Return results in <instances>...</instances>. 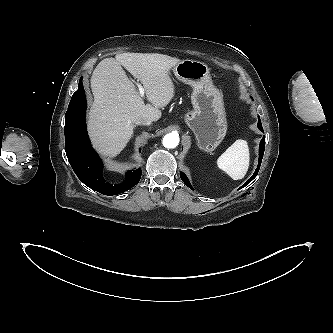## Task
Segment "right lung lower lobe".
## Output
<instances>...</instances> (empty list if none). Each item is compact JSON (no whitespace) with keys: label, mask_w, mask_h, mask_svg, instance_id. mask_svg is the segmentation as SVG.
<instances>
[{"label":"right lung lower lobe","mask_w":333,"mask_h":333,"mask_svg":"<svg viewBox=\"0 0 333 333\" xmlns=\"http://www.w3.org/2000/svg\"><path fill=\"white\" fill-rule=\"evenodd\" d=\"M86 97L79 82L65 114V151L68 161L79 180L89 188L104 195H116L136 185L141 178V169L128 171L121 184L106 183L102 176V161L92 148L85 124Z\"/></svg>","instance_id":"98d812e1"}]
</instances>
